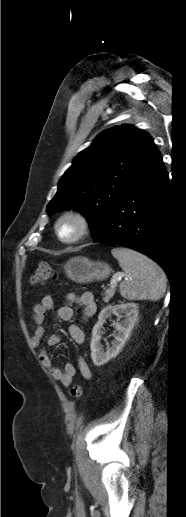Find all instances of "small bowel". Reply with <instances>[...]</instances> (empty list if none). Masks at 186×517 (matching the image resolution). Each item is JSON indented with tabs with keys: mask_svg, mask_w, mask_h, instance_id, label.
<instances>
[{
	"mask_svg": "<svg viewBox=\"0 0 186 517\" xmlns=\"http://www.w3.org/2000/svg\"><path fill=\"white\" fill-rule=\"evenodd\" d=\"M64 305L57 310V316L60 321H70L73 318V305H78L82 309V316L85 319L92 317L96 311V303L94 296L90 292L77 295L73 292L66 293L64 296ZM54 308V300L51 296H45L41 302L33 306L31 321L34 324V332L32 336V344L39 347L44 337L45 329L43 326L46 314ZM69 334L73 342L80 345L84 342L85 336L82 329L72 324L68 328ZM61 337L58 334H50L47 338L49 346L59 345ZM39 360L46 367L52 378L59 382L62 386L68 387L76 374V368L71 363H66L62 368L54 366L51 356L46 348H41L39 352ZM78 368L82 377L86 380L91 379L92 372L86 361L80 357L78 359Z\"/></svg>",
	"mask_w": 186,
	"mask_h": 517,
	"instance_id": "c3829d8e",
	"label": "small bowel"
}]
</instances>
